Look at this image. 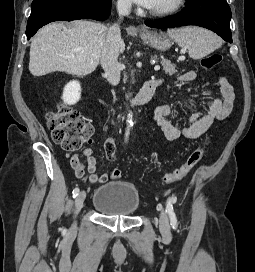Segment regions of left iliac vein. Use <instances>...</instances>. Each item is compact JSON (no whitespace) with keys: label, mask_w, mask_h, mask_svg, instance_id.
Returning <instances> with one entry per match:
<instances>
[{"label":"left iliac vein","mask_w":255,"mask_h":272,"mask_svg":"<svg viewBox=\"0 0 255 272\" xmlns=\"http://www.w3.org/2000/svg\"><path fill=\"white\" fill-rule=\"evenodd\" d=\"M159 229L165 237L171 236L169 219H168V216L164 210H161V212H160Z\"/></svg>","instance_id":"left-iliac-vein-1"}]
</instances>
